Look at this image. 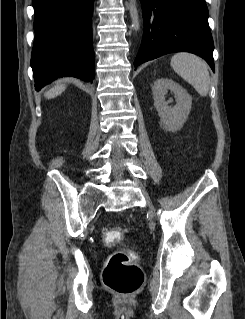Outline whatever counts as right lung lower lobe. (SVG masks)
Listing matches in <instances>:
<instances>
[{
	"label": "right lung lower lobe",
	"mask_w": 245,
	"mask_h": 319,
	"mask_svg": "<svg viewBox=\"0 0 245 319\" xmlns=\"http://www.w3.org/2000/svg\"><path fill=\"white\" fill-rule=\"evenodd\" d=\"M94 0H32L35 40L31 67L35 89L54 79H94L91 17Z\"/></svg>",
	"instance_id": "right-lung-lower-lobe-1"
}]
</instances>
